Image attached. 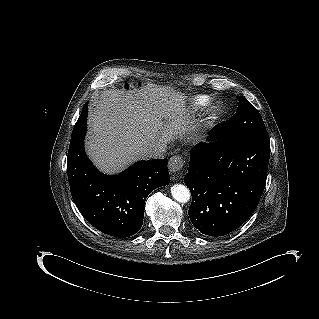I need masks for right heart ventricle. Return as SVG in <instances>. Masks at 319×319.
Here are the masks:
<instances>
[{"instance_id": "obj_1", "label": "right heart ventricle", "mask_w": 319, "mask_h": 319, "mask_svg": "<svg viewBox=\"0 0 319 319\" xmlns=\"http://www.w3.org/2000/svg\"><path fill=\"white\" fill-rule=\"evenodd\" d=\"M190 100L193 108L200 109L208 103L210 97L204 94H195L190 98Z\"/></svg>"}]
</instances>
